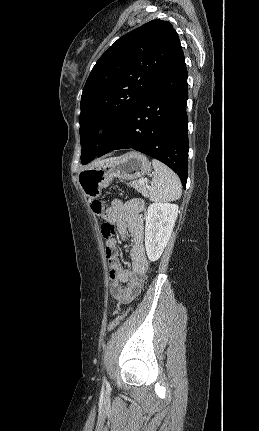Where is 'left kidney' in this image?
Wrapping results in <instances>:
<instances>
[{"label":"left kidney","mask_w":259,"mask_h":431,"mask_svg":"<svg viewBox=\"0 0 259 431\" xmlns=\"http://www.w3.org/2000/svg\"><path fill=\"white\" fill-rule=\"evenodd\" d=\"M178 205L154 202L145 217V248L148 259L156 261L162 255L175 225Z\"/></svg>","instance_id":"left-kidney-1"}]
</instances>
